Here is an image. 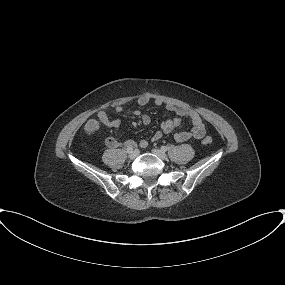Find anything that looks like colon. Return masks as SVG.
<instances>
[{
  "instance_id": "obj_1",
  "label": "colon",
  "mask_w": 285,
  "mask_h": 285,
  "mask_svg": "<svg viewBox=\"0 0 285 285\" xmlns=\"http://www.w3.org/2000/svg\"><path fill=\"white\" fill-rule=\"evenodd\" d=\"M212 143V139L210 137H206L203 140L204 145H210Z\"/></svg>"
}]
</instances>
